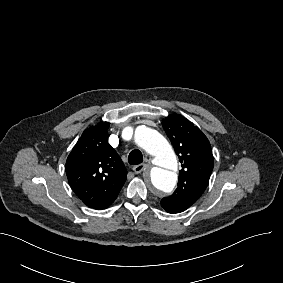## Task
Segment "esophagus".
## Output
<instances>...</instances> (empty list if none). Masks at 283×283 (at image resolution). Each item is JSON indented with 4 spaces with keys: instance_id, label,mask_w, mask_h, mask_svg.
<instances>
[{
    "instance_id": "obj_1",
    "label": "esophagus",
    "mask_w": 283,
    "mask_h": 283,
    "mask_svg": "<svg viewBox=\"0 0 283 283\" xmlns=\"http://www.w3.org/2000/svg\"><path fill=\"white\" fill-rule=\"evenodd\" d=\"M146 167H147V164L141 163V164H139V165H135V166L133 167V171H134L136 174H139V173H141Z\"/></svg>"
}]
</instances>
